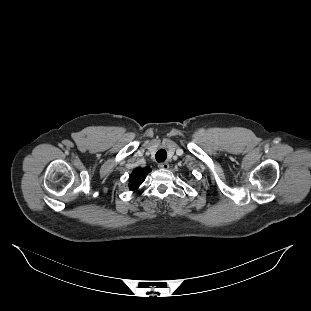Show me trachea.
Wrapping results in <instances>:
<instances>
[{"label":"trachea","mask_w":311,"mask_h":311,"mask_svg":"<svg viewBox=\"0 0 311 311\" xmlns=\"http://www.w3.org/2000/svg\"><path fill=\"white\" fill-rule=\"evenodd\" d=\"M155 158L157 162H164L167 158V152L161 149L156 153Z\"/></svg>","instance_id":"3493384b"}]
</instances>
